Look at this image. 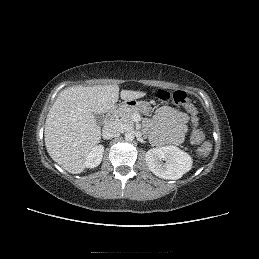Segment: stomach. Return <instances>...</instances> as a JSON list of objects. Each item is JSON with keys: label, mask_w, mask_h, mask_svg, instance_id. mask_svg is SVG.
Here are the masks:
<instances>
[{"label": "stomach", "mask_w": 259, "mask_h": 259, "mask_svg": "<svg viewBox=\"0 0 259 259\" xmlns=\"http://www.w3.org/2000/svg\"><path fill=\"white\" fill-rule=\"evenodd\" d=\"M122 107L136 109L142 113H148L151 110L150 104L146 101H137L136 99L125 100Z\"/></svg>", "instance_id": "0dacf381"}]
</instances>
